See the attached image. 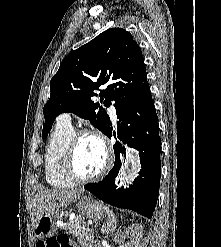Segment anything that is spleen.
<instances>
[{
    "mask_svg": "<svg viewBox=\"0 0 221 247\" xmlns=\"http://www.w3.org/2000/svg\"><path fill=\"white\" fill-rule=\"evenodd\" d=\"M107 215H108L107 221L101 229L102 233H110L111 231H114L116 228V223H117L116 218L113 212L108 208H107Z\"/></svg>",
    "mask_w": 221,
    "mask_h": 247,
    "instance_id": "spleen-1",
    "label": "spleen"
}]
</instances>
